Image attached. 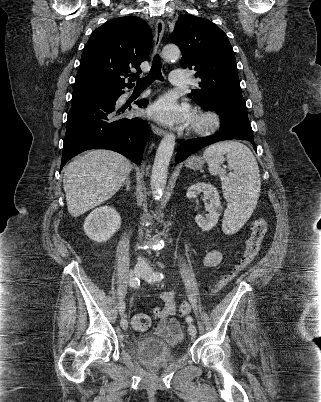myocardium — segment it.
Returning <instances> with one entry per match:
<instances>
[{"instance_id": "myocardium-1", "label": "myocardium", "mask_w": 321, "mask_h": 402, "mask_svg": "<svg viewBox=\"0 0 321 402\" xmlns=\"http://www.w3.org/2000/svg\"><path fill=\"white\" fill-rule=\"evenodd\" d=\"M221 126L219 116L212 111H196L191 118L189 130L199 137L215 134Z\"/></svg>"}]
</instances>
